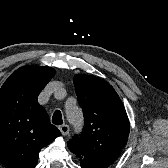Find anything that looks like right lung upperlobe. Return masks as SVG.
I'll use <instances>...</instances> for the list:
<instances>
[{
  "instance_id": "right-lung-upper-lobe-1",
  "label": "right lung upper lobe",
  "mask_w": 168,
  "mask_h": 168,
  "mask_svg": "<svg viewBox=\"0 0 168 168\" xmlns=\"http://www.w3.org/2000/svg\"><path fill=\"white\" fill-rule=\"evenodd\" d=\"M55 75L51 67L23 66L0 89V162L8 168H35L41 148L60 131L37 97Z\"/></svg>"
}]
</instances>
